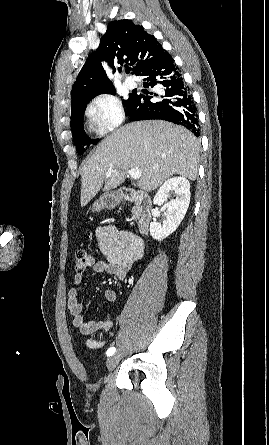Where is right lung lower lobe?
<instances>
[{
    "label": "right lung lower lobe",
    "instance_id": "right-lung-lower-lobe-1",
    "mask_svg": "<svg viewBox=\"0 0 269 445\" xmlns=\"http://www.w3.org/2000/svg\"><path fill=\"white\" fill-rule=\"evenodd\" d=\"M140 76L143 85L157 88V93L150 95L134 94L128 111L131 121L161 119L182 125L195 136H199V123L189 88L183 81L171 55L150 65ZM152 98L155 100L150 101Z\"/></svg>",
    "mask_w": 269,
    "mask_h": 445
}]
</instances>
